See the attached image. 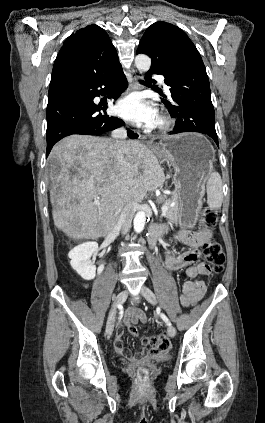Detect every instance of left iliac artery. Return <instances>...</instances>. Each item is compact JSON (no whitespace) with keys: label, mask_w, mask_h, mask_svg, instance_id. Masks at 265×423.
Masks as SVG:
<instances>
[{"label":"left iliac artery","mask_w":265,"mask_h":423,"mask_svg":"<svg viewBox=\"0 0 265 423\" xmlns=\"http://www.w3.org/2000/svg\"><path fill=\"white\" fill-rule=\"evenodd\" d=\"M161 318L167 323V325H171L168 318L164 314H161Z\"/></svg>","instance_id":"obj_1"}]
</instances>
